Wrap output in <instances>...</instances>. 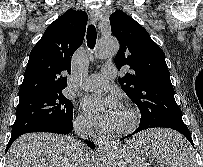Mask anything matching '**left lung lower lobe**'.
I'll use <instances>...</instances> for the list:
<instances>
[{
  "instance_id": "obj_1",
  "label": "left lung lower lobe",
  "mask_w": 203,
  "mask_h": 167,
  "mask_svg": "<svg viewBox=\"0 0 203 167\" xmlns=\"http://www.w3.org/2000/svg\"><path fill=\"white\" fill-rule=\"evenodd\" d=\"M154 127H163V128H170V129L176 130L179 133H181L191 143V145L194 147V144H193V141H192V138H191V135H190V131H189L188 127L184 123L163 124V125H157V126H139L132 134L122 138L121 140H123V139L137 133V132H140L142 130L149 129V128H154ZM185 142L188 143L186 140H185ZM138 146H140V147L145 146L146 147L147 143L143 142Z\"/></svg>"
}]
</instances>
